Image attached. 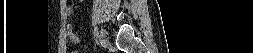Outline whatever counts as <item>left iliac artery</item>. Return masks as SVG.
<instances>
[{
    "mask_svg": "<svg viewBox=\"0 0 253 53\" xmlns=\"http://www.w3.org/2000/svg\"><path fill=\"white\" fill-rule=\"evenodd\" d=\"M93 36H94L93 42L98 43V45H101V42L99 39L100 33L98 32L97 28L94 29Z\"/></svg>",
    "mask_w": 253,
    "mask_h": 53,
    "instance_id": "44dca946",
    "label": "left iliac artery"
}]
</instances>
